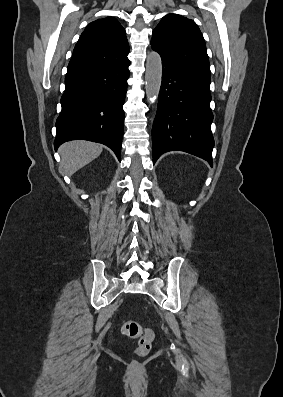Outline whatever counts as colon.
I'll list each match as a JSON object with an SVG mask.
<instances>
[{"label":"colon","mask_w":283,"mask_h":397,"mask_svg":"<svg viewBox=\"0 0 283 397\" xmlns=\"http://www.w3.org/2000/svg\"><path fill=\"white\" fill-rule=\"evenodd\" d=\"M122 333L130 338H138L139 343L136 349L138 355H146L153 340V332L149 328H144L138 322L125 321L122 324Z\"/></svg>","instance_id":"obj_1"}]
</instances>
